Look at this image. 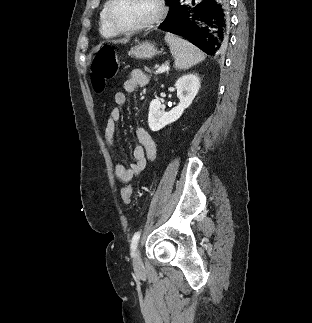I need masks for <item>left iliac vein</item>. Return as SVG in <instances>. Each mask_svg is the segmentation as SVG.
Masks as SVG:
<instances>
[{
    "label": "left iliac vein",
    "instance_id": "left-iliac-vein-1",
    "mask_svg": "<svg viewBox=\"0 0 312 323\" xmlns=\"http://www.w3.org/2000/svg\"><path fill=\"white\" fill-rule=\"evenodd\" d=\"M133 267L135 271H140L142 267V259L139 248H136L134 252Z\"/></svg>",
    "mask_w": 312,
    "mask_h": 323
}]
</instances>
